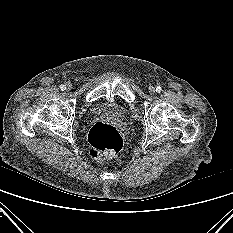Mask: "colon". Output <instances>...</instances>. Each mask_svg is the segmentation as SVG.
Segmentation results:
<instances>
[{
  "label": "colon",
  "instance_id": "obj_1",
  "mask_svg": "<svg viewBox=\"0 0 233 233\" xmlns=\"http://www.w3.org/2000/svg\"><path fill=\"white\" fill-rule=\"evenodd\" d=\"M90 153L94 158H111L123 147V139L118 130L106 122L95 123L89 131Z\"/></svg>",
  "mask_w": 233,
  "mask_h": 233
}]
</instances>
